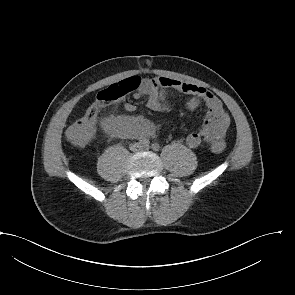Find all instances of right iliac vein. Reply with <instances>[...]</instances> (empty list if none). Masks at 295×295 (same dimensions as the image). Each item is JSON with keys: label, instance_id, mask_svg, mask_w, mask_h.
I'll return each mask as SVG.
<instances>
[{"label": "right iliac vein", "instance_id": "1", "mask_svg": "<svg viewBox=\"0 0 295 295\" xmlns=\"http://www.w3.org/2000/svg\"><path fill=\"white\" fill-rule=\"evenodd\" d=\"M140 144L139 143H135V144H132L130 149L133 151V152H136L138 151V149H140Z\"/></svg>", "mask_w": 295, "mask_h": 295}]
</instances>
